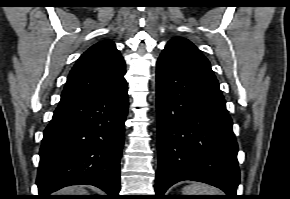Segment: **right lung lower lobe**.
<instances>
[{
    "instance_id": "right-lung-lower-lobe-1",
    "label": "right lung lower lobe",
    "mask_w": 290,
    "mask_h": 199,
    "mask_svg": "<svg viewBox=\"0 0 290 199\" xmlns=\"http://www.w3.org/2000/svg\"><path fill=\"white\" fill-rule=\"evenodd\" d=\"M128 112L126 82L106 93L59 104L44 131L37 174L38 199L76 184L104 190L118 199L124 122Z\"/></svg>"
}]
</instances>
